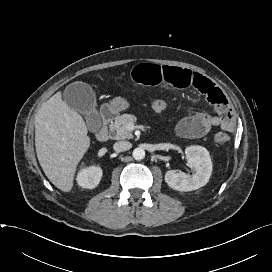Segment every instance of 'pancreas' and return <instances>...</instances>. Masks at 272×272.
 Wrapping results in <instances>:
<instances>
[{
	"label": "pancreas",
	"mask_w": 272,
	"mask_h": 272,
	"mask_svg": "<svg viewBox=\"0 0 272 272\" xmlns=\"http://www.w3.org/2000/svg\"><path fill=\"white\" fill-rule=\"evenodd\" d=\"M136 120V116L132 114H123L118 116L115 119V122L109 126L113 139L122 140L133 138V135L127 129V126L129 124H134Z\"/></svg>",
	"instance_id": "pancreas-1"
}]
</instances>
